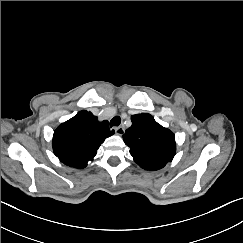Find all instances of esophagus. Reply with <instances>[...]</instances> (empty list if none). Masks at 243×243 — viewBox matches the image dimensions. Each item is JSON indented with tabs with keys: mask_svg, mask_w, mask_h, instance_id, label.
Wrapping results in <instances>:
<instances>
[{
	"mask_svg": "<svg viewBox=\"0 0 243 243\" xmlns=\"http://www.w3.org/2000/svg\"><path fill=\"white\" fill-rule=\"evenodd\" d=\"M113 129L117 135H123L125 131L122 126L114 127Z\"/></svg>",
	"mask_w": 243,
	"mask_h": 243,
	"instance_id": "esophagus-1",
	"label": "esophagus"
}]
</instances>
